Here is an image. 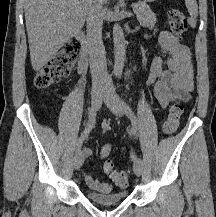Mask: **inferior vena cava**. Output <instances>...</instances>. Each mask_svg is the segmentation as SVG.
Masks as SVG:
<instances>
[{
    "label": "inferior vena cava",
    "instance_id": "obj_1",
    "mask_svg": "<svg viewBox=\"0 0 216 217\" xmlns=\"http://www.w3.org/2000/svg\"><path fill=\"white\" fill-rule=\"evenodd\" d=\"M103 7L98 2L92 3L87 13V44L90 60L92 86L100 87L109 83L105 48L102 41Z\"/></svg>",
    "mask_w": 216,
    "mask_h": 217
}]
</instances>
